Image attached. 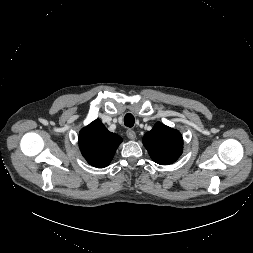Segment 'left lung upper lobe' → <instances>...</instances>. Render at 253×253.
I'll return each instance as SVG.
<instances>
[{
  "label": "left lung upper lobe",
  "instance_id": "obj_1",
  "mask_svg": "<svg viewBox=\"0 0 253 253\" xmlns=\"http://www.w3.org/2000/svg\"><path fill=\"white\" fill-rule=\"evenodd\" d=\"M143 144L153 161L160 165L175 162L182 154L183 139L179 131L157 122L143 137Z\"/></svg>",
  "mask_w": 253,
  "mask_h": 253
}]
</instances>
